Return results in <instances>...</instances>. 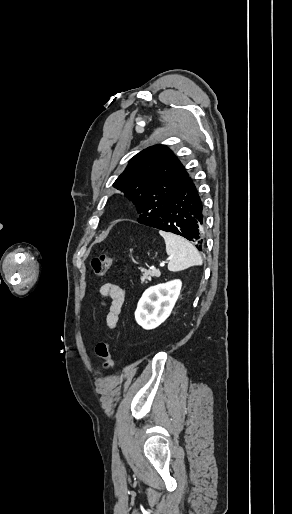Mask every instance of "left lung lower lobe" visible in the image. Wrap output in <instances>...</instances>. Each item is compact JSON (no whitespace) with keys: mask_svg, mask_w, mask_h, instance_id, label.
<instances>
[{"mask_svg":"<svg viewBox=\"0 0 292 514\" xmlns=\"http://www.w3.org/2000/svg\"><path fill=\"white\" fill-rule=\"evenodd\" d=\"M145 225L180 235L202 251L205 235L203 204L190 176L163 206L161 213Z\"/></svg>","mask_w":292,"mask_h":514,"instance_id":"1","label":"left lung lower lobe"}]
</instances>
